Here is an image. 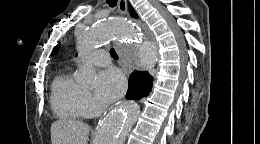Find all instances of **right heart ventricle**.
Segmentation results:
<instances>
[{
	"mask_svg": "<svg viewBox=\"0 0 260 144\" xmlns=\"http://www.w3.org/2000/svg\"><path fill=\"white\" fill-rule=\"evenodd\" d=\"M83 92V88L69 73L59 74L52 83V109L64 119H78L85 116L82 105Z\"/></svg>",
	"mask_w": 260,
	"mask_h": 144,
	"instance_id": "right-heart-ventricle-1",
	"label": "right heart ventricle"
}]
</instances>
